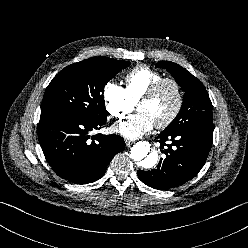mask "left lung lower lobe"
<instances>
[{"instance_id":"left-lung-lower-lobe-1","label":"left lung lower lobe","mask_w":248,"mask_h":248,"mask_svg":"<svg viewBox=\"0 0 248 248\" xmlns=\"http://www.w3.org/2000/svg\"><path fill=\"white\" fill-rule=\"evenodd\" d=\"M166 154L151 171L138 170L139 179L146 185L167 190L192 179L204 166L210 152L213 131L163 130L157 137ZM171 141V144H166Z\"/></svg>"}]
</instances>
